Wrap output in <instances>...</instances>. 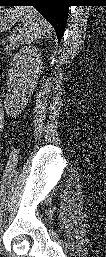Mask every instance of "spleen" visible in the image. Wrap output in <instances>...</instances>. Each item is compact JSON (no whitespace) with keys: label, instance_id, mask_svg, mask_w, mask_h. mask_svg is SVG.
I'll return each instance as SVG.
<instances>
[{"label":"spleen","instance_id":"spleen-1","mask_svg":"<svg viewBox=\"0 0 106 257\" xmlns=\"http://www.w3.org/2000/svg\"><path fill=\"white\" fill-rule=\"evenodd\" d=\"M15 12L17 19L23 23L19 35L22 43L31 44L39 38H50L51 27L35 8L16 7Z\"/></svg>","mask_w":106,"mask_h":257}]
</instances>
